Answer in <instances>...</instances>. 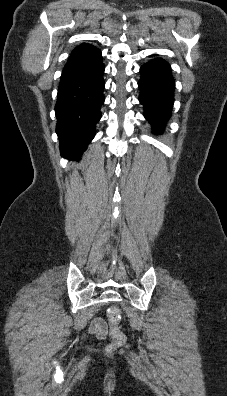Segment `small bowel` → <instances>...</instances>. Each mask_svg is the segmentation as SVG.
Returning <instances> with one entry per match:
<instances>
[{"label":"small bowel","mask_w":227,"mask_h":396,"mask_svg":"<svg viewBox=\"0 0 227 396\" xmlns=\"http://www.w3.org/2000/svg\"><path fill=\"white\" fill-rule=\"evenodd\" d=\"M89 333L95 335L99 339H103L107 334V326L103 319L96 318L89 326Z\"/></svg>","instance_id":"obj_1"}]
</instances>
